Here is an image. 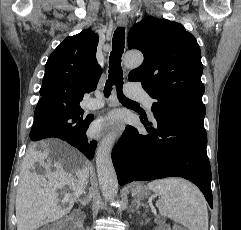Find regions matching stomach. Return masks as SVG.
Masks as SVG:
<instances>
[{"instance_id": "stomach-1", "label": "stomach", "mask_w": 241, "mask_h": 230, "mask_svg": "<svg viewBox=\"0 0 241 230\" xmlns=\"http://www.w3.org/2000/svg\"><path fill=\"white\" fill-rule=\"evenodd\" d=\"M132 194L137 198L143 199L145 197H148L149 190L144 186L138 185L134 187V189L132 190Z\"/></svg>"}]
</instances>
